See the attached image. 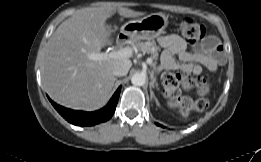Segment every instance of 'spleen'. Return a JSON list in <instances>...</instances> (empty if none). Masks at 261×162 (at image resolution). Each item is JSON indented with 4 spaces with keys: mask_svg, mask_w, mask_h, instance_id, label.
I'll list each match as a JSON object with an SVG mask.
<instances>
[{
    "mask_svg": "<svg viewBox=\"0 0 261 162\" xmlns=\"http://www.w3.org/2000/svg\"><path fill=\"white\" fill-rule=\"evenodd\" d=\"M175 105H176V104L173 103V101H168V106H169V107H175Z\"/></svg>",
    "mask_w": 261,
    "mask_h": 162,
    "instance_id": "spleen-1",
    "label": "spleen"
}]
</instances>
